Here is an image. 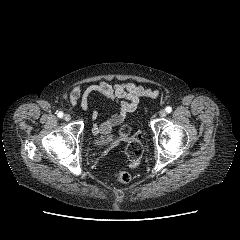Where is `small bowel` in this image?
<instances>
[{
    "mask_svg": "<svg viewBox=\"0 0 240 240\" xmlns=\"http://www.w3.org/2000/svg\"><path fill=\"white\" fill-rule=\"evenodd\" d=\"M95 93L100 94L109 102L117 103L120 110L102 123H95L92 128L94 136H104L113 127L121 124L126 113L133 112L137 108L140 98H153L158 95L156 91L138 86L132 82L111 84L107 81H99L87 86L85 89H82L80 86L74 87L69 94L70 103L73 107L79 104L82 111H87L89 108V99ZM96 117L97 111L94 110L93 119Z\"/></svg>",
    "mask_w": 240,
    "mask_h": 240,
    "instance_id": "1",
    "label": "small bowel"
}]
</instances>
